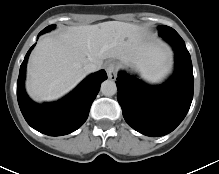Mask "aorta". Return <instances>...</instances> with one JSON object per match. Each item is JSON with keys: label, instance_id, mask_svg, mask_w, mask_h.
I'll return each instance as SVG.
<instances>
[{"label": "aorta", "instance_id": "aorta-1", "mask_svg": "<svg viewBox=\"0 0 219 174\" xmlns=\"http://www.w3.org/2000/svg\"><path fill=\"white\" fill-rule=\"evenodd\" d=\"M101 92L105 96H113L117 92L116 83L112 80H105L101 84Z\"/></svg>", "mask_w": 219, "mask_h": 174}]
</instances>
